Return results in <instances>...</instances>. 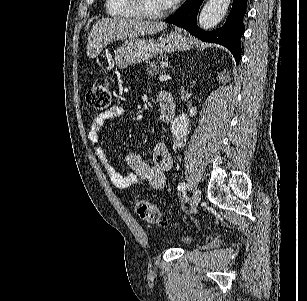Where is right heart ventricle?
<instances>
[{
    "label": "right heart ventricle",
    "mask_w": 307,
    "mask_h": 301,
    "mask_svg": "<svg viewBox=\"0 0 307 301\" xmlns=\"http://www.w3.org/2000/svg\"><path fill=\"white\" fill-rule=\"evenodd\" d=\"M129 1L133 0H106L104 17H139V10L130 9Z\"/></svg>",
    "instance_id": "e07e8e85"
}]
</instances>
